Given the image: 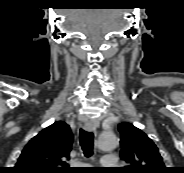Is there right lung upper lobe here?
<instances>
[{
    "label": "right lung upper lobe",
    "mask_w": 184,
    "mask_h": 173,
    "mask_svg": "<svg viewBox=\"0 0 184 173\" xmlns=\"http://www.w3.org/2000/svg\"><path fill=\"white\" fill-rule=\"evenodd\" d=\"M73 135L69 125L57 121L32 138L23 149L14 173H70L69 159Z\"/></svg>",
    "instance_id": "cb5924a9"
}]
</instances>
